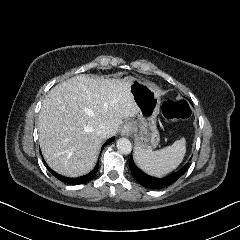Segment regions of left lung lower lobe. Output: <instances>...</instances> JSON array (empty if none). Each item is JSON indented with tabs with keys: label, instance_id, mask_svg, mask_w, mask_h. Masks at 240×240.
Listing matches in <instances>:
<instances>
[{
	"label": "left lung lower lobe",
	"instance_id": "left-lung-lower-lobe-1",
	"mask_svg": "<svg viewBox=\"0 0 240 240\" xmlns=\"http://www.w3.org/2000/svg\"><path fill=\"white\" fill-rule=\"evenodd\" d=\"M188 165L189 164L187 163L178 172L159 179V178L151 177L145 174L144 172L140 171L135 165L132 157L130 158V170L132 172L134 179L138 181L142 186L149 189H161L173 184L186 171Z\"/></svg>",
	"mask_w": 240,
	"mask_h": 240
}]
</instances>
